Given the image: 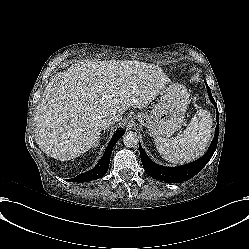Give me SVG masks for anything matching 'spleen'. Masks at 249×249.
Instances as JSON below:
<instances>
[{"label":"spleen","mask_w":249,"mask_h":249,"mask_svg":"<svg viewBox=\"0 0 249 249\" xmlns=\"http://www.w3.org/2000/svg\"><path fill=\"white\" fill-rule=\"evenodd\" d=\"M212 121L203 109L196 112L183 134L171 138H156L160 155L168 162L179 164L199 157L209 144Z\"/></svg>","instance_id":"1"}]
</instances>
